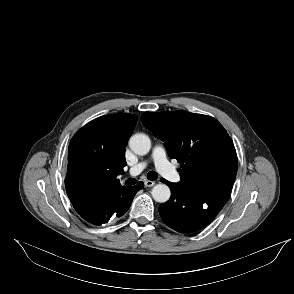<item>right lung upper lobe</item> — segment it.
Listing matches in <instances>:
<instances>
[{
  "label": "right lung upper lobe",
  "mask_w": 294,
  "mask_h": 294,
  "mask_svg": "<svg viewBox=\"0 0 294 294\" xmlns=\"http://www.w3.org/2000/svg\"><path fill=\"white\" fill-rule=\"evenodd\" d=\"M137 116L116 113L83 126L71 139L65 186L73 207L90 210L126 186L117 176L126 166L125 147Z\"/></svg>",
  "instance_id": "1"
}]
</instances>
